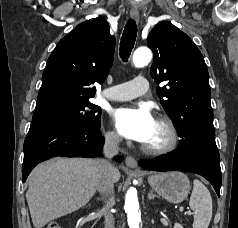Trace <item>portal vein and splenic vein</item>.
Wrapping results in <instances>:
<instances>
[{
    "instance_id": "portal-vein-and-splenic-vein-1",
    "label": "portal vein and splenic vein",
    "mask_w": 238,
    "mask_h": 228,
    "mask_svg": "<svg viewBox=\"0 0 238 228\" xmlns=\"http://www.w3.org/2000/svg\"><path fill=\"white\" fill-rule=\"evenodd\" d=\"M183 211V208H180V212ZM189 215H191L192 213L190 211L187 212Z\"/></svg>"
}]
</instances>
